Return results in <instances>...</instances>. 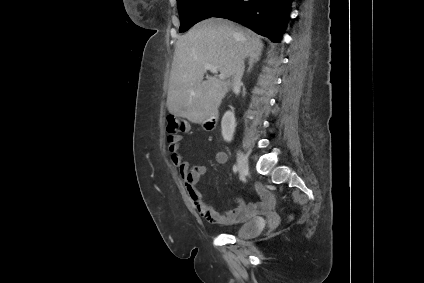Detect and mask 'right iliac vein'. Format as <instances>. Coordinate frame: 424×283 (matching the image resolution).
<instances>
[{
  "mask_svg": "<svg viewBox=\"0 0 424 283\" xmlns=\"http://www.w3.org/2000/svg\"><path fill=\"white\" fill-rule=\"evenodd\" d=\"M237 164L240 175L245 176L248 173V159L243 153L238 154Z\"/></svg>",
  "mask_w": 424,
  "mask_h": 283,
  "instance_id": "right-iliac-vein-1",
  "label": "right iliac vein"
}]
</instances>
